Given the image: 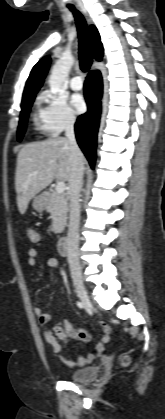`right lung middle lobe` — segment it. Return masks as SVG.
Instances as JSON below:
<instances>
[{"label": "right lung middle lobe", "mask_w": 165, "mask_h": 419, "mask_svg": "<svg viewBox=\"0 0 165 419\" xmlns=\"http://www.w3.org/2000/svg\"><path fill=\"white\" fill-rule=\"evenodd\" d=\"M35 95L29 97L28 99L22 101L21 103V113H20V120H19V126H18V141H21L25 130H26V123L27 118L29 116L30 108L32 106V103L34 101Z\"/></svg>", "instance_id": "right-lung-middle-lobe-1"}]
</instances>
